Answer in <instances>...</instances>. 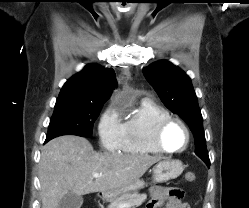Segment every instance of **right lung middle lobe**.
I'll list each match as a JSON object with an SVG mask.
<instances>
[{
	"mask_svg": "<svg viewBox=\"0 0 249 208\" xmlns=\"http://www.w3.org/2000/svg\"><path fill=\"white\" fill-rule=\"evenodd\" d=\"M103 104H68L55 106L46 139L61 135L91 137L93 124Z\"/></svg>",
	"mask_w": 249,
	"mask_h": 208,
	"instance_id": "obj_1",
	"label": "right lung middle lobe"
}]
</instances>
